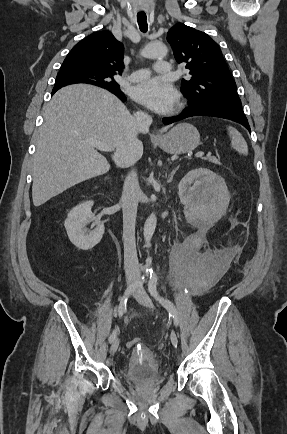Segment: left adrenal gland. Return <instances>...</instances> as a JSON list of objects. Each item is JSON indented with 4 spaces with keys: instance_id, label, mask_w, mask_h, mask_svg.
<instances>
[{
    "instance_id": "left-adrenal-gland-1",
    "label": "left adrenal gland",
    "mask_w": 287,
    "mask_h": 434,
    "mask_svg": "<svg viewBox=\"0 0 287 434\" xmlns=\"http://www.w3.org/2000/svg\"><path fill=\"white\" fill-rule=\"evenodd\" d=\"M177 170H178V167L175 168L168 176H167V173H165V177L167 178L168 183L172 182L173 177H174Z\"/></svg>"
}]
</instances>
